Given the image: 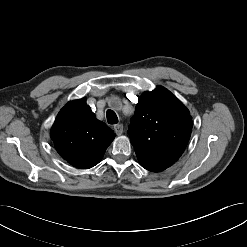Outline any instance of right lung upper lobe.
Here are the masks:
<instances>
[{
	"label": "right lung upper lobe",
	"mask_w": 247,
	"mask_h": 247,
	"mask_svg": "<svg viewBox=\"0 0 247 247\" xmlns=\"http://www.w3.org/2000/svg\"><path fill=\"white\" fill-rule=\"evenodd\" d=\"M50 136L63 159L77 168L89 169L100 162L115 134L95 117L83 98L61 109Z\"/></svg>",
	"instance_id": "1"
}]
</instances>
